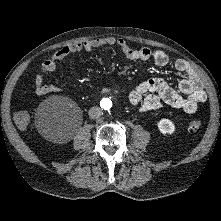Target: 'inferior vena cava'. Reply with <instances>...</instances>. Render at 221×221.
<instances>
[{
  "label": "inferior vena cava",
  "mask_w": 221,
  "mask_h": 221,
  "mask_svg": "<svg viewBox=\"0 0 221 221\" xmlns=\"http://www.w3.org/2000/svg\"><path fill=\"white\" fill-rule=\"evenodd\" d=\"M88 114L90 118L97 119L102 115V110L100 107L94 106L89 109Z\"/></svg>",
  "instance_id": "1"
}]
</instances>
